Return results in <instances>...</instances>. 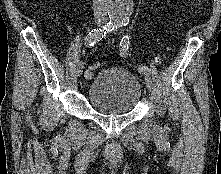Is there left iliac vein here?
<instances>
[{"instance_id": "obj_1", "label": "left iliac vein", "mask_w": 221, "mask_h": 174, "mask_svg": "<svg viewBox=\"0 0 221 174\" xmlns=\"http://www.w3.org/2000/svg\"><path fill=\"white\" fill-rule=\"evenodd\" d=\"M145 74V84H146V87L148 89L149 92H151L152 90V79L150 77V75L148 73H144Z\"/></svg>"}]
</instances>
